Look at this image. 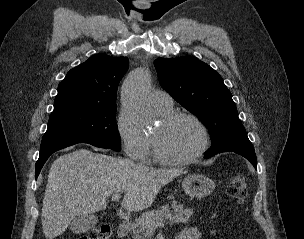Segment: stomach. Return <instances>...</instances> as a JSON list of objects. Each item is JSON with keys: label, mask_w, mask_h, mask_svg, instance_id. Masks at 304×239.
<instances>
[{"label": "stomach", "mask_w": 304, "mask_h": 239, "mask_svg": "<svg viewBox=\"0 0 304 239\" xmlns=\"http://www.w3.org/2000/svg\"><path fill=\"white\" fill-rule=\"evenodd\" d=\"M182 188L192 198H203L215 189V183L209 177L202 174H190L182 181Z\"/></svg>", "instance_id": "obj_1"}]
</instances>
